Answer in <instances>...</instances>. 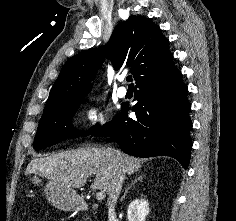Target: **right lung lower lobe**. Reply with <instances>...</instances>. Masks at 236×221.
I'll return each mask as SVG.
<instances>
[{"mask_svg":"<svg viewBox=\"0 0 236 221\" xmlns=\"http://www.w3.org/2000/svg\"><path fill=\"white\" fill-rule=\"evenodd\" d=\"M136 119L128 118V104L96 136L113 137L120 148L137 157L166 155L186 169L192 141L191 105L187 86L173 63V56L153 73L136 82Z\"/></svg>","mask_w":236,"mask_h":221,"instance_id":"1","label":"right lung lower lobe"}]
</instances>
